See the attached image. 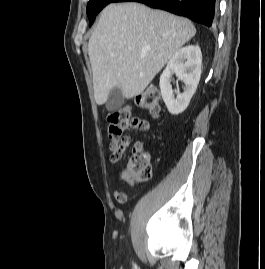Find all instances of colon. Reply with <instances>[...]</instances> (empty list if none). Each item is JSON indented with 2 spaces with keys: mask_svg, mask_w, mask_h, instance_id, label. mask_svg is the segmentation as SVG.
Returning <instances> with one entry per match:
<instances>
[{
  "mask_svg": "<svg viewBox=\"0 0 265 269\" xmlns=\"http://www.w3.org/2000/svg\"><path fill=\"white\" fill-rule=\"evenodd\" d=\"M160 94L156 88L150 87L138 96L137 105L157 115L160 111ZM108 137L118 140L122 144L129 143V133L141 130L145 127L143 119L133 116L130 107H123L110 112L107 116ZM152 175V167L148 153L140 144L134 147L133 155L123 170V176L127 183L136 184L148 181Z\"/></svg>",
  "mask_w": 265,
  "mask_h": 269,
  "instance_id": "colon-1",
  "label": "colon"
}]
</instances>
